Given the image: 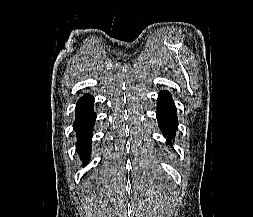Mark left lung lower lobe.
I'll use <instances>...</instances> for the list:
<instances>
[{"label":"left lung lower lobe","instance_id":"1","mask_svg":"<svg viewBox=\"0 0 253 217\" xmlns=\"http://www.w3.org/2000/svg\"><path fill=\"white\" fill-rule=\"evenodd\" d=\"M176 108L169 92H161L157 102V119L164 136L168 135V140H172L177 128Z\"/></svg>","mask_w":253,"mask_h":217}]
</instances>
